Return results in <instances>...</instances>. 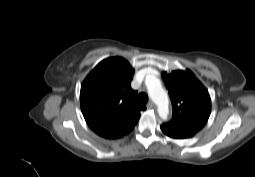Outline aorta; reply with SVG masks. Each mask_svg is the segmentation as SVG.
I'll use <instances>...</instances> for the list:
<instances>
[{"mask_svg":"<svg viewBox=\"0 0 255 177\" xmlns=\"http://www.w3.org/2000/svg\"><path fill=\"white\" fill-rule=\"evenodd\" d=\"M148 94L152 101L158 106L161 118H166L168 114V95L162 88L161 82L156 77H150L146 80Z\"/></svg>","mask_w":255,"mask_h":177,"instance_id":"obj_1","label":"aorta"}]
</instances>
